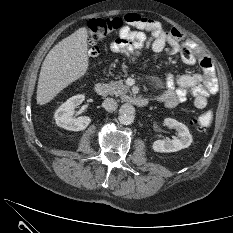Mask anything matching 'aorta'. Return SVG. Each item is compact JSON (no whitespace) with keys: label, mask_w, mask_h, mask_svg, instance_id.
Wrapping results in <instances>:
<instances>
[{"label":"aorta","mask_w":233,"mask_h":233,"mask_svg":"<svg viewBox=\"0 0 233 233\" xmlns=\"http://www.w3.org/2000/svg\"><path fill=\"white\" fill-rule=\"evenodd\" d=\"M135 108L133 105L125 103L119 109V121L121 124L129 125L134 121Z\"/></svg>","instance_id":"762f6f07"}]
</instances>
